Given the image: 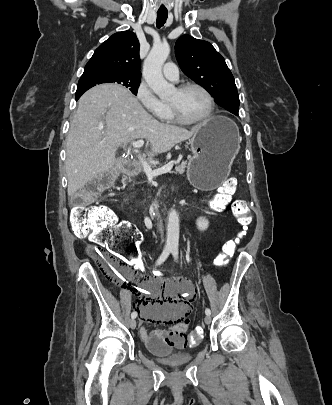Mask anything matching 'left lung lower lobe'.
Returning <instances> with one entry per match:
<instances>
[{"label": "left lung lower lobe", "mask_w": 332, "mask_h": 405, "mask_svg": "<svg viewBox=\"0 0 332 405\" xmlns=\"http://www.w3.org/2000/svg\"><path fill=\"white\" fill-rule=\"evenodd\" d=\"M233 114H237L238 113V108H232V111H231Z\"/></svg>", "instance_id": "obj_1"}]
</instances>
